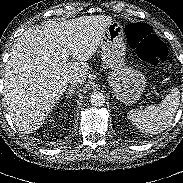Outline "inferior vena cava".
<instances>
[{"instance_id":"602c4592","label":"inferior vena cava","mask_w":183,"mask_h":183,"mask_svg":"<svg viewBox=\"0 0 183 183\" xmlns=\"http://www.w3.org/2000/svg\"><path fill=\"white\" fill-rule=\"evenodd\" d=\"M82 81L83 80L79 74H72L67 78V82L74 85L82 84Z\"/></svg>"}]
</instances>
